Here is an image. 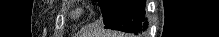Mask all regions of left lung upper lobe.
<instances>
[{
  "label": "left lung upper lobe",
  "instance_id": "5c2ea615",
  "mask_svg": "<svg viewBox=\"0 0 219 37\" xmlns=\"http://www.w3.org/2000/svg\"><path fill=\"white\" fill-rule=\"evenodd\" d=\"M99 3V6L102 10V16L104 20V24L109 22L110 18L112 17L115 9L117 8L118 4L121 0H96Z\"/></svg>",
  "mask_w": 219,
  "mask_h": 37
}]
</instances>
